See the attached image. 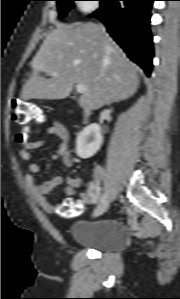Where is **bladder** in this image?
<instances>
[{
	"mask_svg": "<svg viewBox=\"0 0 180 299\" xmlns=\"http://www.w3.org/2000/svg\"><path fill=\"white\" fill-rule=\"evenodd\" d=\"M123 224L114 219L78 222L71 228V239L82 246L99 251H116L126 242Z\"/></svg>",
	"mask_w": 180,
	"mask_h": 299,
	"instance_id": "bladder-1",
	"label": "bladder"
}]
</instances>
